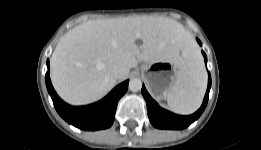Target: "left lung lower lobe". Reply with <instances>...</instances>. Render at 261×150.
<instances>
[{
  "label": "left lung lower lobe",
  "mask_w": 261,
  "mask_h": 150,
  "mask_svg": "<svg viewBox=\"0 0 261 150\" xmlns=\"http://www.w3.org/2000/svg\"><path fill=\"white\" fill-rule=\"evenodd\" d=\"M198 43L201 45V42L197 40ZM203 56L205 59V63H207V56L204 52ZM211 87V76L210 73H208V87L206 91L205 98L203 100L201 108L195 112L194 114L190 116H180L173 114L167 110L162 109L148 94V92L145 89V86L142 87V95L144 96L146 103H147V111H148V117L150 119V122L153 126L159 129H184L188 127L191 123H193L195 120L199 118V116L204 111L208 98H209V91Z\"/></svg>",
  "instance_id": "obj_1"
}]
</instances>
